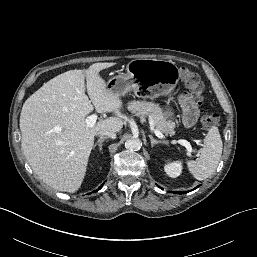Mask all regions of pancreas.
I'll list each match as a JSON object with an SVG mask.
<instances>
[{"mask_svg": "<svg viewBox=\"0 0 257 257\" xmlns=\"http://www.w3.org/2000/svg\"><path fill=\"white\" fill-rule=\"evenodd\" d=\"M128 110L137 117H148L149 121L161 133L166 135L174 134L175 123L168 119L159 105L145 101H132L128 104Z\"/></svg>", "mask_w": 257, "mask_h": 257, "instance_id": "1", "label": "pancreas"}]
</instances>
